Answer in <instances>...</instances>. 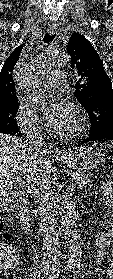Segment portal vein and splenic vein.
Segmentation results:
<instances>
[{
  "instance_id": "18ae733b",
  "label": "portal vein and splenic vein",
  "mask_w": 113,
  "mask_h": 279,
  "mask_svg": "<svg viewBox=\"0 0 113 279\" xmlns=\"http://www.w3.org/2000/svg\"><path fill=\"white\" fill-rule=\"evenodd\" d=\"M15 183H16L18 186H20V187H22V188H25V189H28V190L34 189L33 186H30V185L26 184L25 181H24L22 178H16Z\"/></svg>"
}]
</instances>
